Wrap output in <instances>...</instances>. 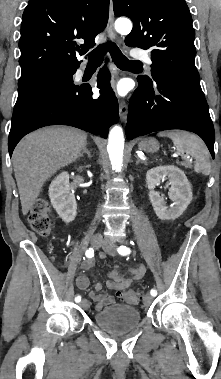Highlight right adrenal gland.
Segmentation results:
<instances>
[{
    "instance_id": "1",
    "label": "right adrenal gland",
    "mask_w": 221,
    "mask_h": 379,
    "mask_svg": "<svg viewBox=\"0 0 221 379\" xmlns=\"http://www.w3.org/2000/svg\"><path fill=\"white\" fill-rule=\"evenodd\" d=\"M84 154H87L89 158L92 157L90 151L87 149V144L83 147L82 152L79 154V158L83 157Z\"/></svg>"
}]
</instances>
